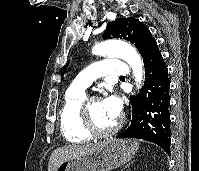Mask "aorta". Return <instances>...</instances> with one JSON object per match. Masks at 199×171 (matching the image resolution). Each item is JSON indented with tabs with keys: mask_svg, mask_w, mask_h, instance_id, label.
I'll list each match as a JSON object with an SVG mask.
<instances>
[{
	"mask_svg": "<svg viewBox=\"0 0 199 171\" xmlns=\"http://www.w3.org/2000/svg\"><path fill=\"white\" fill-rule=\"evenodd\" d=\"M93 54L100 56H116L125 60L132 68L136 84L141 85L144 77L143 64L140 55L128 43L120 40H107L95 45Z\"/></svg>",
	"mask_w": 199,
	"mask_h": 171,
	"instance_id": "1",
	"label": "aorta"
}]
</instances>
